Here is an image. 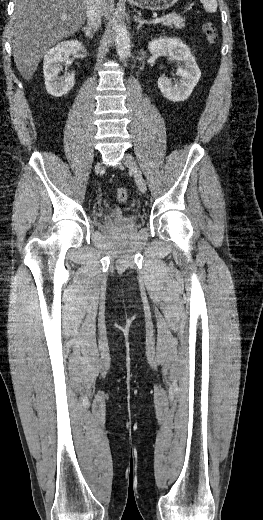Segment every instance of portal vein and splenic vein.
Instances as JSON below:
<instances>
[{
  "mask_svg": "<svg viewBox=\"0 0 263 520\" xmlns=\"http://www.w3.org/2000/svg\"><path fill=\"white\" fill-rule=\"evenodd\" d=\"M62 19H66V16H62ZM161 20H162V18L157 17V18L152 20V23L157 24V23H160Z\"/></svg>",
  "mask_w": 263,
  "mask_h": 520,
  "instance_id": "obj_1",
  "label": "portal vein and splenic vein"
}]
</instances>
